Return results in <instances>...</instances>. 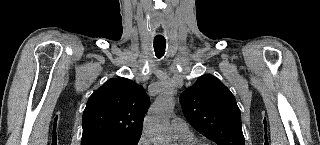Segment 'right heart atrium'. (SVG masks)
Wrapping results in <instances>:
<instances>
[{
  "mask_svg": "<svg viewBox=\"0 0 320 145\" xmlns=\"http://www.w3.org/2000/svg\"><path fill=\"white\" fill-rule=\"evenodd\" d=\"M137 145H151V142L145 134H142L137 142Z\"/></svg>",
  "mask_w": 320,
  "mask_h": 145,
  "instance_id": "d8ad5b80",
  "label": "right heart atrium"
}]
</instances>
